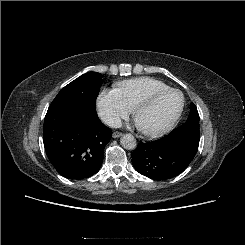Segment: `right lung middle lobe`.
<instances>
[{
	"mask_svg": "<svg viewBox=\"0 0 245 245\" xmlns=\"http://www.w3.org/2000/svg\"><path fill=\"white\" fill-rule=\"evenodd\" d=\"M103 83L102 75L88 72L66 85L52 101L48 109L77 106L96 111V99Z\"/></svg>",
	"mask_w": 245,
	"mask_h": 245,
	"instance_id": "dd1d6c3e",
	"label": "right lung middle lobe"
}]
</instances>
